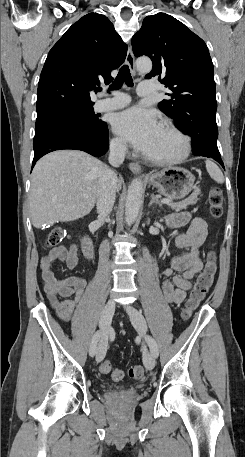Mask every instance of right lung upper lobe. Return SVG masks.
<instances>
[{
	"mask_svg": "<svg viewBox=\"0 0 245 457\" xmlns=\"http://www.w3.org/2000/svg\"><path fill=\"white\" fill-rule=\"evenodd\" d=\"M127 45L102 14L90 13L74 23L50 50L37 91V112L65 101L89 100L100 81L125 60Z\"/></svg>",
	"mask_w": 245,
	"mask_h": 457,
	"instance_id": "right-lung-upper-lobe-1",
	"label": "right lung upper lobe"
}]
</instances>
